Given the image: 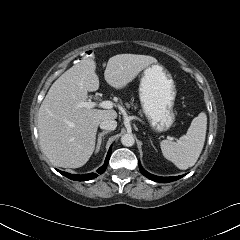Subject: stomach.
Returning <instances> with one entry per match:
<instances>
[{
    "instance_id": "1",
    "label": "stomach",
    "mask_w": 240,
    "mask_h": 240,
    "mask_svg": "<svg viewBox=\"0 0 240 240\" xmlns=\"http://www.w3.org/2000/svg\"><path fill=\"white\" fill-rule=\"evenodd\" d=\"M175 97L176 85L169 72L158 63L146 67L139 85V98L153 130L162 132L172 126Z\"/></svg>"
}]
</instances>
